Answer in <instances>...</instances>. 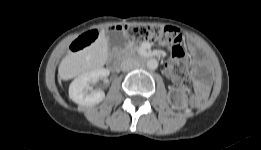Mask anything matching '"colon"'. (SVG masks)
<instances>
[{"instance_id":"1","label":"colon","mask_w":261,"mask_h":150,"mask_svg":"<svg viewBox=\"0 0 261 150\" xmlns=\"http://www.w3.org/2000/svg\"><path fill=\"white\" fill-rule=\"evenodd\" d=\"M123 30L135 41L147 40L156 41L168 46L171 58L165 68L168 75L179 86H183L188 81L187 57L183 48V34L178 28L172 26L151 27L145 25H125ZM100 35V31L93 29L87 31L77 38L71 45L72 51H79L92 44Z\"/></svg>"}]
</instances>
